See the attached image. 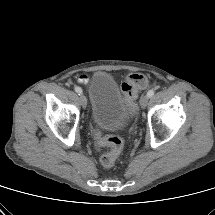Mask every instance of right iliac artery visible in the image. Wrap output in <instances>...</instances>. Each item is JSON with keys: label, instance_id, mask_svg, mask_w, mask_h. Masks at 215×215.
I'll list each match as a JSON object with an SVG mask.
<instances>
[{"label": "right iliac artery", "instance_id": "right-iliac-artery-1", "mask_svg": "<svg viewBox=\"0 0 215 215\" xmlns=\"http://www.w3.org/2000/svg\"><path fill=\"white\" fill-rule=\"evenodd\" d=\"M74 89L79 95L82 94V89L80 87H75Z\"/></svg>", "mask_w": 215, "mask_h": 215}]
</instances>
